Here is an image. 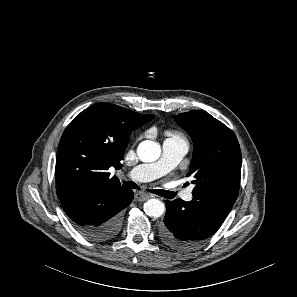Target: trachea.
<instances>
[{
	"label": "trachea",
	"mask_w": 297,
	"mask_h": 297,
	"mask_svg": "<svg viewBox=\"0 0 297 297\" xmlns=\"http://www.w3.org/2000/svg\"><path fill=\"white\" fill-rule=\"evenodd\" d=\"M123 186L131 189H139V186L134 183L133 181H124ZM149 192L155 193L157 195H160L162 197L172 199L176 196V193L173 191H167V190H162V189H150Z\"/></svg>",
	"instance_id": "1"
}]
</instances>
